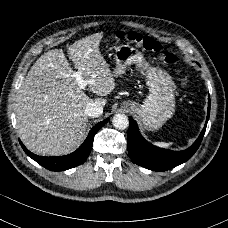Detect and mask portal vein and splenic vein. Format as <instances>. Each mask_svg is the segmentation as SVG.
I'll list each match as a JSON object with an SVG mask.
<instances>
[{
	"label": "portal vein and splenic vein",
	"mask_w": 228,
	"mask_h": 228,
	"mask_svg": "<svg viewBox=\"0 0 228 228\" xmlns=\"http://www.w3.org/2000/svg\"><path fill=\"white\" fill-rule=\"evenodd\" d=\"M71 76L75 77L80 89H84L88 84L94 83L92 80H84L80 71L74 72Z\"/></svg>",
	"instance_id": "portal-vein-and-splenic-vein-1"
}]
</instances>
